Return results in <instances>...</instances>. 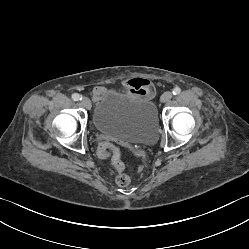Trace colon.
Listing matches in <instances>:
<instances>
[{
    "label": "colon",
    "instance_id": "1",
    "mask_svg": "<svg viewBox=\"0 0 249 249\" xmlns=\"http://www.w3.org/2000/svg\"><path fill=\"white\" fill-rule=\"evenodd\" d=\"M138 153L141 156H144V151L139 150ZM101 157H111L114 169L118 173L116 176V183L118 186L124 187L130 184L129 176L122 173L125 168V165L120 161V150L110 143L103 142L98 152Z\"/></svg>",
    "mask_w": 249,
    "mask_h": 249
}]
</instances>
